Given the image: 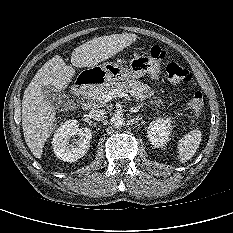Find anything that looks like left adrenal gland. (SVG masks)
I'll return each mask as SVG.
<instances>
[{
  "mask_svg": "<svg viewBox=\"0 0 233 233\" xmlns=\"http://www.w3.org/2000/svg\"><path fill=\"white\" fill-rule=\"evenodd\" d=\"M141 107H143V104H140L137 107H132L129 109V111L130 112H138Z\"/></svg>",
  "mask_w": 233,
  "mask_h": 233,
  "instance_id": "left-adrenal-gland-1",
  "label": "left adrenal gland"
}]
</instances>
